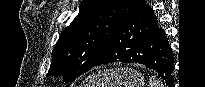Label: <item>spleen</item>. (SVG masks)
I'll use <instances>...</instances> for the list:
<instances>
[{
	"mask_svg": "<svg viewBox=\"0 0 205 87\" xmlns=\"http://www.w3.org/2000/svg\"><path fill=\"white\" fill-rule=\"evenodd\" d=\"M149 85L150 87H163L162 83L155 76L150 77Z\"/></svg>",
	"mask_w": 205,
	"mask_h": 87,
	"instance_id": "3e777b00",
	"label": "spleen"
}]
</instances>
